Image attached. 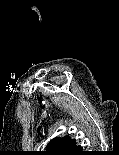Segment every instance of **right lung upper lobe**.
Instances as JSON below:
<instances>
[{
	"instance_id": "1",
	"label": "right lung upper lobe",
	"mask_w": 119,
	"mask_h": 155,
	"mask_svg": "<svg viewBox=\"0 0 119 155\" xmlns=\"http://www.w3.org/2000/svg\"><path fill=\"white\" fill-rule=\"evenodd\" d=\"M75 144L76 141L69 136L54 138L49 142L47 149L41 151L39 155H66Z\"/></svg>"
}]
</instances>
